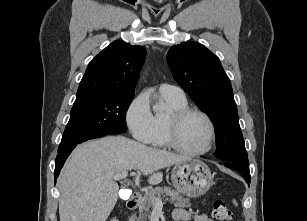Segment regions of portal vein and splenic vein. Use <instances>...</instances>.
I'll list each match as a JSON object with an SVG mask.
<instances>
[{
	"label": "portal vein and splenic vein",
	"mask_w": 307,
	"mask_h": 221,
	"mask_svg": "<svg viewBox=\"0 0 307 221\" xmlns=\"http://www.w3.org/2000/svg\"><path fill=\"white\" fill-rule=\"evenodd\" d=\"M128 177V171H123L122 173H117L113 175V179L114 180H121V179H125ZM153 204L154 207L156 208H162L163 207V203L162 200L160 198H155L153 200Z\"/></svg>",
	"instance_id": "1"
}]
</instances>
